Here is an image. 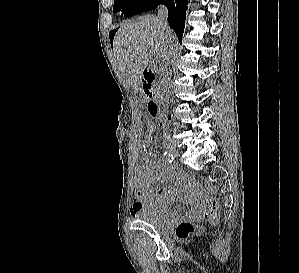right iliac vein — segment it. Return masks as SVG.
<instances>
[{
    "label": "right iliac vein",
    "instance_id": "right-iliac-vein-1",
    "mask_svg": "<svg viewBox=\"0 0 299 273\" xmlns=\"http://www.w3.org/2000/svg\"><path fill=\"white\" fill-rule=\"evenodd\" d=\"M165 149L174 156H179V154H180V151L177 148V146L170 141H167L165 143Z\"/></svg>",
    "mask_w": 299,
    "mask_h": 273
}]
</instances>
